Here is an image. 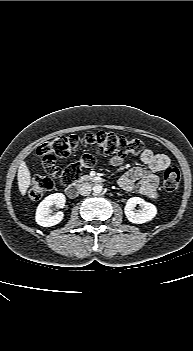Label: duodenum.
Masks as SVG:
<instances>
[{"instance_id":"1","label":"duodenum","mask_w":193,"mask_h":351,"mask_svg":"<svg viewBox=\"0 0 193 351\" xmlns=\"http://www.w3.org/2000/svg\"><path fill=\"white\" fill-rule=\"evenodd\" d=\"M102 179L97 176H83L77 183L72 184L66 188V193L70 198H75L79 189L87 183L98 184L101 183Z\"/></svg>"}]
</instances>
